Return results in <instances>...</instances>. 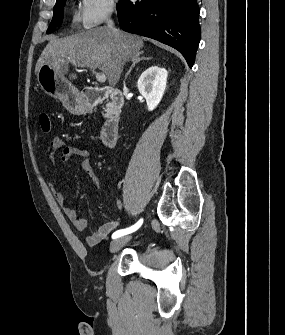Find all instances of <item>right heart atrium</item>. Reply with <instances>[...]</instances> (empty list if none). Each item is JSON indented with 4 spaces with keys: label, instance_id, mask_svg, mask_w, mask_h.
Wrapping results in <instances>:
<instances>
[{
    "label": "right heart atrium",
    "instance_id": "obj_1",
    "mask_svg": "<svg viewBox=\"0 0 285 335\" xmlns=\"http://www.w3.org/2000/svg\"><path fill=\"white\" fill-rule=\"evenodd\" d=\"M116 9L115 1H82L72 12V22L86 29L107 21Z\"/></svg>",
    "mask_w": 285,
    "mask_h": 335
}]
</instances>
